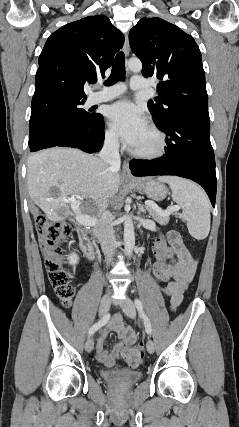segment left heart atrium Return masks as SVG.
I'll use <instances>...</instances> for the list:
<instances>
[{
	"label": "left heart atrium",
	"instance_id": "1",
	"mask_svg": "<svg viewBox=\"0 0 239 427\" xmlns=\"http://www.w3.org/2000/svg\"><path fill=\"white\" fill-rule=\"evenodd\" d=\"M108 122L116 134L131 147L147 127L142 110L128 100H120L109 107Z\"/></svg>",
	"mask_w": 239,
	"mask_h": 427
}]
</instances>
